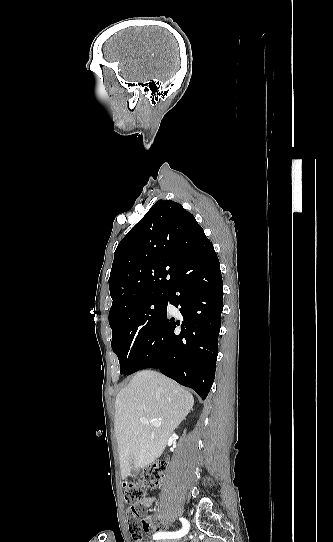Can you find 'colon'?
Wrapping results in <instances>:
<instances>
[{"label": "colon", "instance_id": "colon-1", "mask_svg": "<svg viewBox=\"0 0 333 542\" xmlns=\"http://www.w3.org/2000/svg\"><path fill=\"white\" fill-rule=\"evenodd\" d=\"M161 476L155 465H149L144 472L135 480L130 481L128 489H124L125 501L129 504L137 507L130 506L127 514V519L130 522V531L135 542H142L143 527L139 522L141 517L144 516V512L147 511L148 506L144 503L147 499L146 490L160 483Z\"/></svg>", "mask_w": 333, "mask_h": 542}]
</instances>
